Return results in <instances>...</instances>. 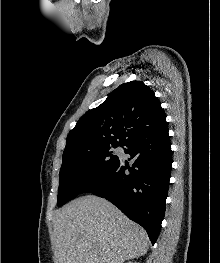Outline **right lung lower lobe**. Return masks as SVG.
Segmentation results:
<instances>
[{
  "label": "right lung lower lobe",
  "instance_id": "obj_1",
  "mask_svg": "<svg viewBox=\"0 0 220 263\" xmlns=\"http://www.w3.org/2000/svg\"><path fill=\"white\" fill-rule=\"evenodd\" d=\"M125 146V153L134 159L133 166L129 168L120 159L82 193H93L112 202L128 218L140 224L154 244L164 218L171 176L172 150L168 130L155 138L138 137Z\"/></svg>",
  "mask_w": 220,
  "mask_h": 263
}]
</instances>
